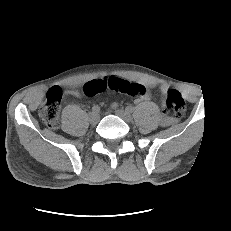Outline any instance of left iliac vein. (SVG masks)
<instances>
[{
	"label": "left iliac vein",
	"instance_id": "4c4485c4",
	"mask_svg": "<svg viewBox=\"0 0 231 231\" xmlns=\"http://www.w3.org/2000/svg\"><path fill=\"white\" fill-rule=\"evenodd\" d=\"M115 114L119 117H121L126 122H132L133 118L131 114L125 110L117 109L115 110Z\"/></svg>",
	"mask_w": 231,
	"mask_h": 231
}]
</instances>
